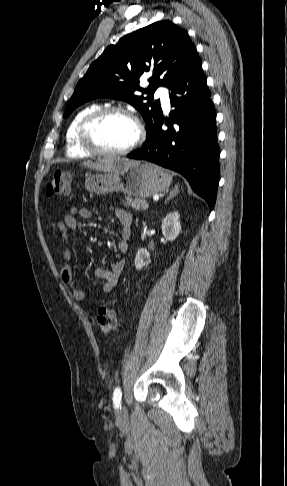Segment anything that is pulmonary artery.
Instances as JSON below:
<instances>
[{"mask_svg":"<svg viewBox=\"0 0 287 486\" xmlns=\"http://www.w3.org/2000/svg\"><path fill=\"white\" fill-rule=\"evenodd\" d=\"M156 95L161 99L163 107L165 109H168L170 106V100L167 90L163 87H160L157 89Z\"/></svg>","mask_w":287,"mask_h":486,"instance_id":"pulmonary-artery-1","label":"pulmonary artery"}]
</instances>
